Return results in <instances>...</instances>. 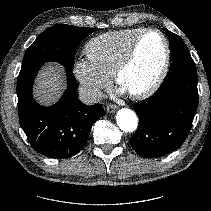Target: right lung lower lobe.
I'll use <instances>...</instances> for the list:
<instances>
[{"label": "right lung lower lobe", "instance_id": "right-lung-lower-lobe-1", "mask_svg": "<svg viewBox=\"0 0 211 211\" xmlns=\"http://www.w3.org/2000/svg\"><path fill=\"white\" fill-rule=\"evenodd\" d=\"M43 64L21 70L17 81L18 114L30 144L50 158L64 159L76 155L86 144L95 120L105 115L100 104L80 102L77 81L66 69L68 87L60 100L50 107L39 105L32 96L34 78Z\"/></svg>", "mask_w": 211, "mask_h": 211}]
</instances>
